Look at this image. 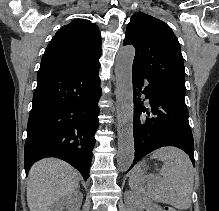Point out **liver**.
<instances>
[{
	"mask_svg": "<svg viewBox=\"0 0 219 211\" xmlns=\"http://www.w3.org/2000/svg\"><path fill=\"white\" fill-rule=\"evenodd\" d=\"M80 173L67 161L45 157L33 163L27 183V201L30 211H48L63 195L79 187Z\"/></svg>",
	"mask_w": 219,
	"mask_h": 211,
	"instance_id": "obj_1",
	"label": "liver"
}]
</instances>
